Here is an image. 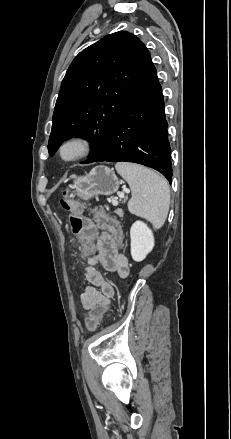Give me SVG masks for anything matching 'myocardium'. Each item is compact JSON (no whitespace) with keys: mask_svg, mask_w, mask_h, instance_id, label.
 Instances as JSON below:
<instances>
[{"mask_svg":"<svg viewBox=\"0 0 231 439\" xmlns=\"http://www.w3.org/2000/svg\"><path fill=\"white\" fill-rule=\"evenodd\" d=\"M91 149L92 143L87 137L73 135L61 141L57 147L56 154L62 163L69 164L88 156Z\"/></svg>","mask_w":231,"mask_h":439,"instance_id":"f54148a6","label":"myocardium"}]
</instances>
